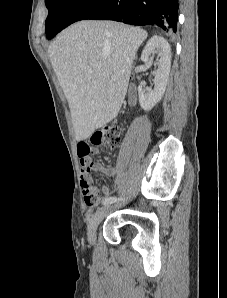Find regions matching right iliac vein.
<instances>
[{"label":"right iliac vein","instance_id":"1","mask_svg":"<svg viewBox=\"0 0 227 298\" xmlns=\"http://www.w3.org/2000/svg\"><path fill=\"white\" fill-rule=\"evenodd\" d=\"M109 208H110L109 205H105L104 207L99 208L91 218L90 223L88 225V230H87V235L90 242H94L96 237L97 227L101 223L105 215L107 214Z\"/></svg>","mask_w":227,"mask_h":298}]
</instances>
